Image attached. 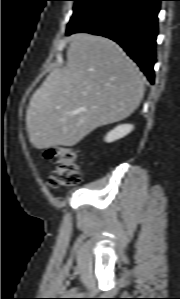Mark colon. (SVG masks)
<instances>
[{
  "mask_svg": "<svg viewBox=\"0 0 180 299\" xmlns=\"http://www.w3.org/2000/svg\"><path fill=\"white\" fill-rule=\"evenodd\" d=\"M45 157L53 163L46 181L49 189L71 188L80 182L82 170L72 147L49 148L45 151Z\"/></svg>",
  "mask_w": 180,
  "mask_h": 299,
  "instance_id": "obj_1",
  "label": "colon"
}]
</instances>
